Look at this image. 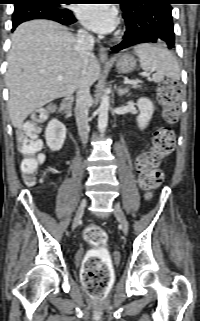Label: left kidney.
I'll use <instances>...</instances> for the list:
<instances>
[{
    "instance_id": "obj_1",
    "label": "left kidney",
    "mask_w": 200,
    "mask_h": 321,
    "mask_svg": "<svg viewBox=\"0 0 200 321\" xmlns=\"http://www.w3.org/2000/svg\"><path fill=\"white\" fill-rule=\"evenodd\" d=\"M137 107L139 109V115L137 116V123L139 128L145 129L148 122L152 118L154 106L148 98H140L137 101Z\"/></svg>"
}]
</instances>
